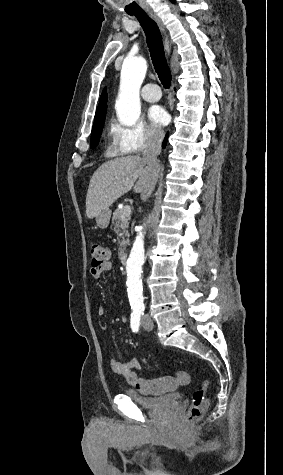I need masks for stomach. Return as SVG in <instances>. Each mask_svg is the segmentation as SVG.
<instances>
[{"instance_id":"obj_1","label":"stomach","mask_w":283,"mask_h":475,"mask_svg":"<svg viewBox=\"0 0 283 475\" xmlns=\"http://www.w3.org/2000/svg\"><path fill=\"white\" fill-rule=\"evenodd\" d=\"M111 218V210L106 208V210H102L98 216H95L96 224L99 228H107Z\"/></svg>"}]
</instances>
